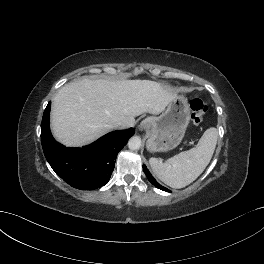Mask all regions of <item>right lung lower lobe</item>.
<instances>
[{
	"instance_id": "98d812e1",
	"label": "right lung lower lobe",
	"mask_w": 264,
	"mask_h": 264,
	"mask_svg": "<svg viewBox=\"0 0 264 264\" xmlns=\"http://www.w3.org/2000/svg\"><path fill=\"white\" fill-rule=\"evenodd\" d=\"M51 102L41 123V143L45 157L65 182L80 190H93L105 185L114 170L118 152L134 135L133 128L110 132L82 148H68L54 140L49 128Z\"/></svg>"
}]
</instances>
